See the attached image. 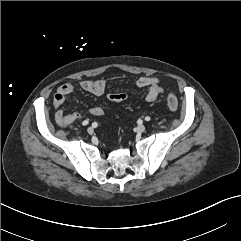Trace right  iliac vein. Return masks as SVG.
Returning a JSON list of instances; mask_svg holds the SVG:
<instances>
[{
	"label": "right iliac vein",
	"mask_w": 241,
	"mask_h": 241,
	"mask_svg": "<svg viewBox=\"0 0 241 241\" xmlns=\"http://www.w3.org/2000/svg\"><path fill=\"white\" fill-rule=\"evenodd\" d=\"M87 132H88L89 134H92V133L94 132V129H93L92 127H89V128L87 129Z\"/></svg>",
	"instance_id": "1"
}]
</instances>
